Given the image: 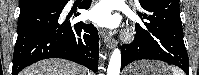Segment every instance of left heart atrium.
I'll return each mask as SVG.
<instances>
[{
    "instance_id": "left-heart-atrium-1",
    "label": "left heart atrium",
    "mask_w": 199,
    "mask_h": 75,
    "mask_svg": "<svg viewBox=\"0 0 199 75\" xmlns=\"http://www.w3.org/2000/svg\"><path fill=\"white\" fill-rule=\"evenodd\" d=\"M89 17L94 23L104 28H115L119 24L118 17L111 14V10L106 4H101L92 9Z\"/></svg>"
}]
</instances>
